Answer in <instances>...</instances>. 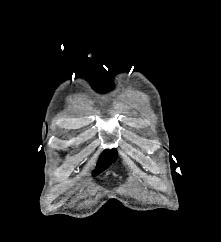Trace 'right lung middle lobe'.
Here are the masks:
<instances>
[{
	"mask_svg": "<svg viewBox=\"0 0 221 242\" xmlns=\"http://www.w3.org/2000/svg\"><path fill=\"white\" fill-rule=\"evenodd\" d=\"M116 158H117V152L115 149L105 150L99 159V162L97 164V169L94 175L103 171L111 162H114Z\"/></svg>",
	"mask_w": 221,
	"mask_h": 242,
	"instance_id": "obj_1",
	"label": "right lung middle lobe"
}]
</instances>
